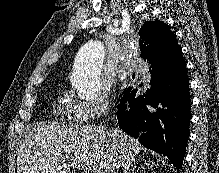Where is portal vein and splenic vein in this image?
<instances>
[{
    "mask_svg": "<svg viewBox=\"0 0 219 173\" xmlns=\"http://www.w3.org/2000/svg\"><path fill=\"white\" fill-rule=\"evenodd\" d=\"M73 166L77 167L78 169H84L80 164L74 163ZM84 171H85V169H84ZM85 172H87V169Z\"/></svg>",
    "mask_w": 219,
    "mask_h": 173,
    "instance_id": "portal-vein-and-splenic-vein-1",
    "label": "portal vein and splenic vein"
}]
</instances>
